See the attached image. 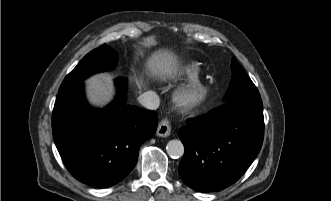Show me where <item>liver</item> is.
<instances>
[{
    "mask_svg": "<svg viewBox=\"0 0 331 201\" xmlns=\"http://www.w3.org/2000/svg\"><path fill=\"white\" fill-rule=\"evenodd\" d=\"M147 68L155 76L172 75L178 68L176 56L168 50H158L147 61ZM87 95L92 104L103 106L112 98L113 85L108 74H96L86 80Z\"/></svg>",
    "mask_w": 331,
    "mask_h": 201,
    "instance_id": "6515ba94",
    "label": "liver"
}]
</instances>
